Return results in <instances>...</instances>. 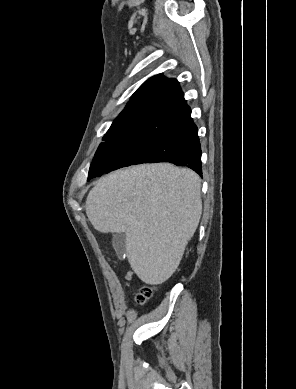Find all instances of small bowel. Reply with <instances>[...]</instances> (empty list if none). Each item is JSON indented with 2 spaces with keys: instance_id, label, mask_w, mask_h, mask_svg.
I'll return each mask as SVG.
<instances>
[{
  "instance_id": "obj_1",
  "label": "small bowel",
  "mask_w": 296,
  "mask_h": 389,
  "mask_svg": "<svg viewBox=\"0 0 296 389\" xmlns=\"http://www.w3.org/2000/svg\"><path fill=\"white\" fill-rule=\"evenodd\" d=\"M132 276H133V272L128 271L126 276H125L126 281L129 282L132 279Z\"/></svg>"
}]
</instances>
